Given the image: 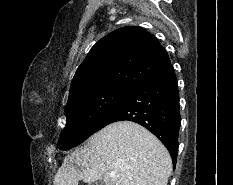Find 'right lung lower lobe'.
<instances>
[{
  "mask_svg": "<svg viewBox=\"0 0 233 185\" xmlns=\"http://www.w3.org/2000/svg\"><path fill=\"white\" fill-rule=\"evenodd\" d=\"M179 108L177 79L170 64L132 88L103 119L97 131L120 120L139 123L168 148L175 167L181 122Z\"/></svg>",
  "mask_w": 233,
  "mask_h": 185,
  "instance_id": "right-lung-lower-lobe-1",
  "label": "right lung lower lobe"
}]
</instances>
